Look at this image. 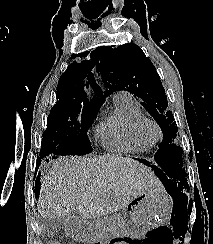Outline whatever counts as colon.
Masks as SVG:
<instances>
[{
	"label": "colon",
	"instance_id": "1",
	"mask_svg": "<svg viewBox=\"0 0 213 244\" xmlns=\"http://www.w3.org/2000/svg\"><path fill=\"white\" fill-rule=\"evenodd\" d=\"M51 244H59V243H57V242H52Z\"/></svg>",
	"mask_w": 213,
	"mask_h": 244
}]
</instances>
